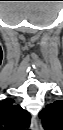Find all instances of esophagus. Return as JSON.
<instances>
[{
  "instance_id": "obj_1",
  "label": "esophagus",
  "mask_w": 63,
  "mask_h": 130,
  "mask_svg": "<svg viewBox=\"0 0 63 130\" xmlns=\"http://www.w3.org/2000/svg\"><path fill=\"white\" fill-rule=\"evenodd\" d=\"M31 129L38 130V123L35 117H32L31 119Z\"/></svg>"
}]
</instances>
